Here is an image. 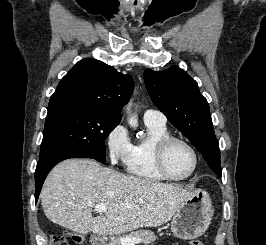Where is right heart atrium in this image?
<instances>
[{
	"label": "right heart atrium",
	"mask_w": 266,
	"mask_h": 245,
	"mask_svg": "<svg viewBox=\"0 0 266 245\" xmlns=\"http://www.w3.org/2000/svg\"><path fill=\"white\" fill-rule=\"evenodd\" d=\"M107 158L111 166H129L134 144L125 125L118 123L105 136Z\"/></svg>",
	"instance_id": "right-heart-atrium-1"
}]
</instances>
